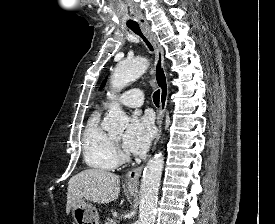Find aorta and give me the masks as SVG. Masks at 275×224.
Returning <instances> with one entry per match:
<instances>
[{
    "label": "aorta",
    "mask_w": 275,
    "mask_h": 224,
    "mask_svg": "<svg viewBox=\"0 0 275 224\" xmlns=\"http://www.w3.org/2000/svg\"><path fill=\"white\" fill-rule=\"evenodd\" d=\"M149 61L137 57L120 61L111 77L114 92H118L129 83L138 79L147 69ZM128 125V117L118 103L113 102L103 122V129L122 131ZM164 167L162 153L155 154L144 168L140 186V205L138 224H154L158 191Z\"/></svg>",
    "instance_id": "1"
}]
</instances>
